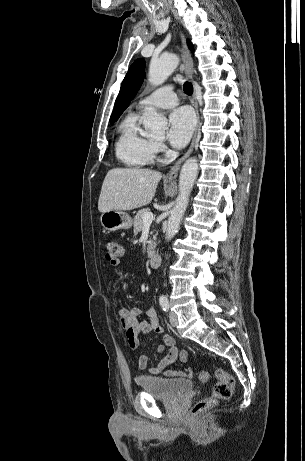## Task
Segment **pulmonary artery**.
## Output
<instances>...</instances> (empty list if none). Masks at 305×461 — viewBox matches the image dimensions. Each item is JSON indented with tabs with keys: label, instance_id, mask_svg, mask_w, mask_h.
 I'll list each match as a JSON object with an SVG mask.
<instances>
[{
	"label": "pulmonary artery",
	"instance_id": "obj_1",
	"mask_svg": "<svg viewBox=\"0 0 305 461\" xmlns=\"http://www.w3.org/2000/svg\"><path fill=\"white\" fill-rule=\"evenodd\" d=\"M178 104V98L175 92L173 91L172 85H166L160 87L142 99L137 104L138 110H143L146 108L156 107V108H172Z\"/></svg>",
	"mask_w": 305,
	"mask_h": 461
}]
</instances>
